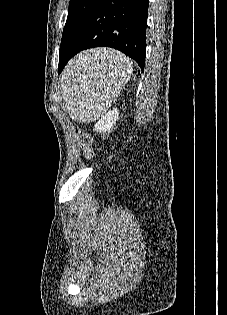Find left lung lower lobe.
Instances as JSON below:
<instances>
[{"mask_svg":"<svg viewBox=\"0 0 227 315\" xmlns=\"http://www.w3.org/2000/svg\"><path fill=\"white\" fill-rule=\"evenodd\" d=\"M149 0H98L60 49L58 73L77 53L93 47H112L145 67Z\"/></svg>","mask_w":227,"mask_h":315,"instance_id":"left-lung-lower-lobe-1","label":"left lung lower lobe"}]
</instances>
